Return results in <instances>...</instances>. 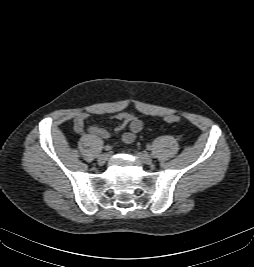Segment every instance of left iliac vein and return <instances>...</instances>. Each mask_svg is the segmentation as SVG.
Returning a JSON list of instances; mask_svg holds the SVG:
<instances>
[{"instance_id":"obj_1","label":"left iliac vein","mask_w":254,"mask_h":267,"mask_svg":"<svg viewBox=\"0 0 254 267\" xmlns=\"http://www.w3.org/2000/svg\"><path fill=\"white\" fill-rule=\"evenodd\" d=\"M137 157L144 164L151 165L153 163L152 157L144 152H138Z\"/></svg>"}]
</instances>
